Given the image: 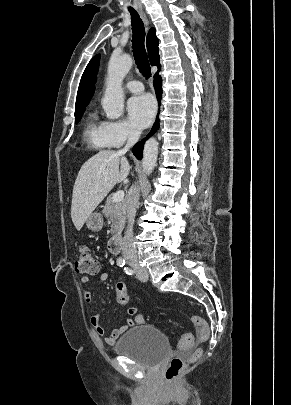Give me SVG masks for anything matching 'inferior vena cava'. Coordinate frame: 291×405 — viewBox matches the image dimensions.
Instances as JSON below:
<instances>
[{"label": "inferior vena cava", "instance_id": "obj_1", "mask_svg": "<svg viewBox=\"0 0 291 405\" xmlns=\"http://www.w3.org/2000/svg\"><path fill=\"white\" fill-rule=\"evenodd\" d=\"M139 137L140 132L138 130L131 129L129 131L127 143L125 147L120 150V153H126L138 141ZM139 196V189L136 186H132L126 198L128 226L123 238L122 254L127 261L132 263L137 262V251L133 244V225Z\"/></svg>", "mask_w": 291, "mask_h": 405}]
</instances>
